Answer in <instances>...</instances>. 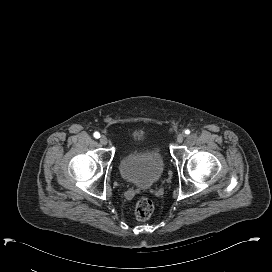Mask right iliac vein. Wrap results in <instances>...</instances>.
I'll use <instances>...</instances> for the list:
<instances>
[{
    "instance_id": "right-iliac-vein-1",
    "label": "right iliac vein",
    "mask_w": 272,
    "mask_h": 272,
    "mask_svg": "<svg viewBox=\"0 0 272 272\" xmlns=\"http://www.w3.org/2000/svg\"><path fill=\"white\" fill-rule=\"evenodd\" d=\"M100 144L106 145L108 143V139L106 136L102 135L99 139Z\"/></svg>"
}]
</instances>
